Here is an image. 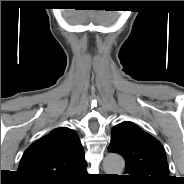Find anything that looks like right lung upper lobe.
I'll list each match as a JSON object with an SVG mask.
<instances>
[{"label": "right lung upper lobe", "mask_w": 184, "mask_h": 184, "mask_svg": "<svg viewBox=\"0 0 184 184\" xmlns=\"http://www.w3.org/2000/svg\"><path fill=\"white\" fill-rule=\"evenodd\" d=\"M86 169L84 149L77 133L67 127L53 129L24 152L19 174L33 183H62Z\"/></svg>", "instance_id": "obj_1"}]
</instances>
